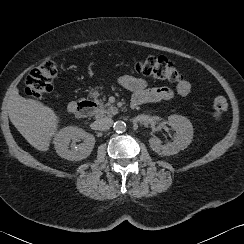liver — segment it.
<instances>
[{
    "label": "liver",
    "instance_id": "liver-1",
    "mask_svg": "<svg viewBox=\"0 0 244 244\" xmlns=\"http://www.w3.org/2000/svg\"><path fill=\"white\" fill-rule=\"evenodd\" d=\"M12 124L34 148L48 151L51 137L57 130L59 117L42 102L26 99L16 91L8 101Z\"/></svg>",
    "mask_w": 244,
    "mask_h": 244
}]
</instances>
